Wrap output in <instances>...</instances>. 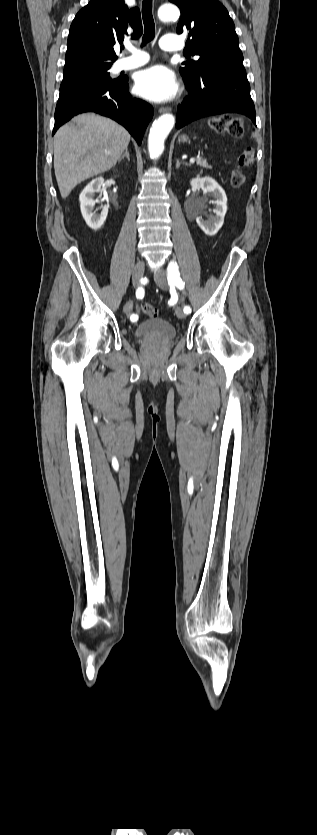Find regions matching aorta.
Segmentation results:
<instances>
[{"instance_id":"1","label":"aorta","mask_w":317,"mask_h":835,"mask_svg":"<svg viewBox=\"0 0 317 835\" xmlns=\"http://www.w3.org/2000/svg\"><path fill=\"white\" fill-rule=\"evenodd\" d=\"M159 18L164 21H170L178 18L180 15L179 9L173 4H165L159 8ZM175 123V118L172 114H164L160 116L151 126L148 137V149L152 159H157L164 151V141Z\"/></svg>"}]
</instances>
